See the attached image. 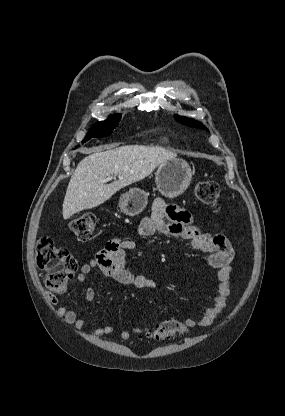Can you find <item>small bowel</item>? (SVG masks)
I'll use <instances>...</instances> for the list:
<instances>
[{
  "mask_svg": "<svg viewBox=\"0 0 285 416\" xmlns=\"http://www.w3.org/2000/svg\"><path fill=\"white\" fill-rule=\"evenodd\" d=\"M156 233L190 241L195 250L206 254V262L211 267L219 270V290L213 299L212 305L206 309L200 318H188L185 321V326L189 328L210 326L225 309L230 294L229 278L231 262L234 258V250L230 241L221 233L209 234L203 232L193 223L192 216L187 210L169 205L161 198L154 200L151 215L143 219L139 226L141 236L149 237ZM136 248L137 244L132 240H124L118 237L110 238L93 259L81 266L77 281L85 283L87 276L94 269H98L104 278L112 279L121 285L139 289L154 288L156 286L154 280L143 275H135L126 267L125 251L135 250ZM95 295L94 288L88 287L85 290L84 299L90 302L95 298ZM46 296L51 304H59V299L54 293H48ZM56 314L65 323L74 325L78 332L86 333L84 330L85 321L79 318L74 310L66 306H59L56 308ZM113 330L114 328L111 325H102L88 332V334L103 337L112 333ZM148 331L150 330L138 328L123 330L120 332V338L128 340L132 333L145 334Z\"/></svg>",
  "mask_w": 285,
  "mask_h": 416,
  "instance_id": "obj_1",
  "label": "small bowel"
}]
</instances>
